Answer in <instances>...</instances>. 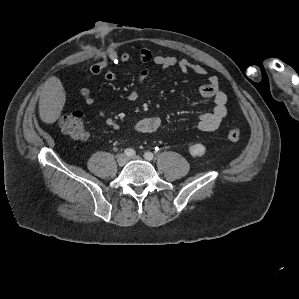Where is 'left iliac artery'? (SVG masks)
Masks as SVG:
<instances>
[{
  "label": "left iliac artery",
  "instance_id": "left-iliac-artery-1",
  "mask_svg": "<svg viewBox=\"0 0 299 299\" xmlns=\"http://www.w3.org/2000/svg\"><path fill=\"white\" fill-rule=\"evenodd\" d=\"M144 157H145V159H147V160H152L153 159V154L151 153V152H146L145 154H144Z\"/></svg>",
  "mask_w": 299,
  "mask_h": 299
}]
</instances>
